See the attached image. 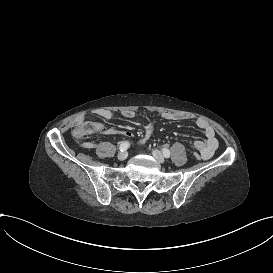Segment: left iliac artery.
<instances>
[{"instance_id": "left-iliac-artery-1", "label": "left iliac artery", "mask_w": 273, "mask_h": 273, "mask_svg": "<svg viewBox=\"0 0 273 273\" xmlns=\"http://www.w3.org/2000/svg\"><path fill=\"white\" fill-rule=\"evenodd\" d=\"M163 155L165 158H169L170 157V151L168 149H163Z\"/></svg>"}]
</instances>
